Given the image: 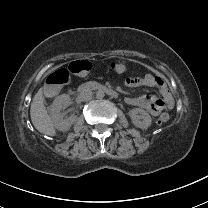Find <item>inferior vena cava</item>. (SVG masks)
<instances>
[{
    "instance_id": "1",
    "label": "inferior vena cava",
    "mask_w": 208,
    "mask_h": 208,
    "mask_svg": "<svg viewBox=\"0 0 208 208\" xmlns=\"http://www.w3.org/2000/svg\"><path fill=\"white\" fill-rule=\"evenodd\" d=\"M91 98H92V92L87 89L80 91L78 94V99L80 101H89Z\"/></svg>"
}]
</instances>
